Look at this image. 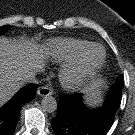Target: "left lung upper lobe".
<instances>
[{
  "label": "left lung upper lobe",
  "instance_id": "5c2ea615",
  "mask_svg": "<svg viewBox=\"0 0 135 135\" xmlns=\"http://www.w3.org/2000/svg\"><path fill=\"white\" fill-rule=\"evenodd\" d=\"M116 82H122V83H124V78H123V76L122 75H119V77L117 78V81Z\"/></svg>",
  "mask_w": 135,
  "mask_h": 135
}]
</instances>
